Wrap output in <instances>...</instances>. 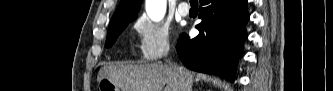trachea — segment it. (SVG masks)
Here are the masks:
<instances>
[{
	"mask_svg": "<svg viewBox=\"0 0 333 91\" xmlns=\"http://www.w3.org/2000/svg\"><path fill=\"white\" fill-rule=\"evenodd\" d=\"M190 3H197V0H190Z\"/></svg>",
	"mask_w": 333,
	"mask_h": 91,
	"instance_id": "1",
	"label": "trachea"
}]
</instances>
